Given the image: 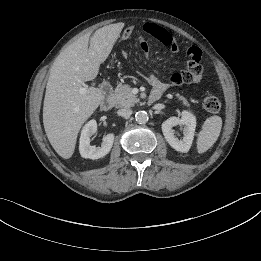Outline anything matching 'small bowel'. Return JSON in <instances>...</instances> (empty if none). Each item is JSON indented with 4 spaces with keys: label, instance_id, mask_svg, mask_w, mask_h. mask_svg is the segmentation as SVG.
Instances as JSON below:
<instances>
[{
    "label": "small bowel",
    "instance_id": "c3829d8e",
    "mask_svg": "<svg viewBox=\"0 0 261 261\" xmlns=\"http://www.w3.org/2000/svg\"><path fill=\"white\" fill-rule=\"evenodd\" d=\"M126 30V29H125ZM124 30V31H125ZM142 30L145 34L152 36L159 42L163 43L173 53H178L179 48L177 42L172 34L166 31L164 28L154 24L146 23L143 25ZM132 34L130 35V37ZM139 43L142 51L152 61L157 62V59L150 53L149 44L143 35L139 37ZM190 58L188 67L185 71L179 73H173L169 78V83L160 81L156 76L151 75L148 78L149 83L153 86V91L163 93L170 86H179L188 82H195L202 77V66H201V53L195 46L190 47L187 50Z\"/></svg>",
    "mask_w": 261,
    "mask_h": 261
}]
</instances>
